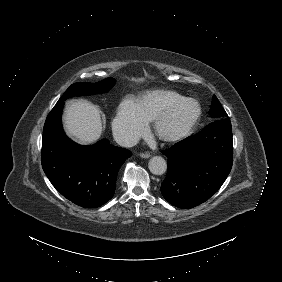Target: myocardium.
<instances>
[{
	"mask_svg": "<svg viewBox=\"0 0 282 282\" xmlns=\"http://www.w3.org/2000/svg\"><path fill=\"white\" fill-rule=\"evenodd\" d=\"M188 102H193L192 99L187 97H182L177 101L172 102L169 104L155 119L154 129L157 136L164 142L174 143L184 139L192 129L197 125L200 120L201 112L200 108L198 107L197 114L188 120L184 125L173 132H167L164 129L165 123L168 118L180 107Z\"/></svg>",
	"mask_w": 282,
	"mask_h": 282,
	"instance_id": "obj_1",
	"label": "myocardium"
}]
</instances>
